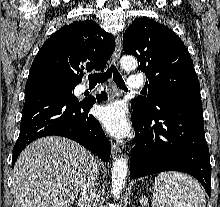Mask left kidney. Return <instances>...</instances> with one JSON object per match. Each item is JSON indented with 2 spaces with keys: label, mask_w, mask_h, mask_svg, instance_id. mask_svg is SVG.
Instances as JSON below:
<instances>
[{
  "label": "left kidney",
  "mask_w": 220,
  "mask_h": 207,
  "mask_svg": "<svg viewBox=\"0 0 220 207\" xmlns=\"http://www.w3.org/2000/svg\"><path fill=\"white\" fill-rule=\"evenodd\" d=\"M140 203L142 205V207H145L146 204H148V199L145 197L140 198Z\"/></svg>",
  "instance_id": "1"
}]
</instances>
